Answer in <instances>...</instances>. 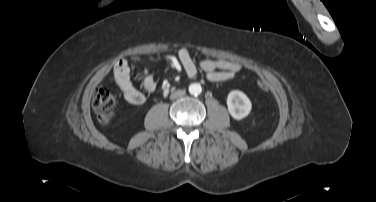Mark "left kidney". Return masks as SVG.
I'll return each mask as SVG.
<instances>
[{
  "label": "left kidney",
  "instance_id": "1",
  "mask_svg": "<svg viewBox=\"0 0 376 202\" xmlns=\"http://www.w3.org/2000/svg\"><path fill=\"white\" fill-rule=\"evenodd\" d=\"M227 106L231 116L237 120L248 116L252 108L250 99L239 90L229 92L227 96Z\"/></svg>",
  "mask_w": 376,
  "mask_h": 202
}]
</instances>
